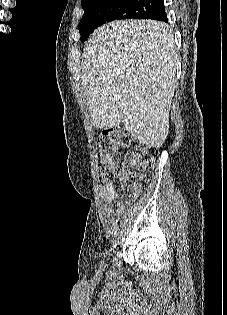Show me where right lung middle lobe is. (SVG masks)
I'll return each mask as SVG.
<instances>
[{
  "label": "right lung middle lobe",
  "instance_id": "dd1d6c3e",
  "mask_svg": "<svg viewBox=\"0 0 227 315\" xmlns=\"http://www.w3.org/2000/svg\"><path fill=\"white\" fill-rule=\"evenodd\" d=\"M160 0H82L84 15L78 29L81 41L99 26L113 20L151 19Z\"/></svg>",
  "mask_w": 227,
  "mask_h": 315
}]
</instances>
